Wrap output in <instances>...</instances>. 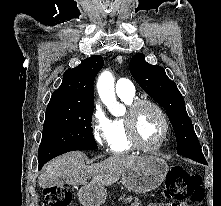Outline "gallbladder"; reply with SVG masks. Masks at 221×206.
Masks as SVG:
<instances>
[{"label":"gallbladder","instance_id":"gallbladder-1","mask_svg":"<svg viewBox=\"0 0 221 206\" xmlns=\"http://www.w3.org/2000/svg\"><path fill=\"white\" fill-rule=\"evenodd\" d=\"M57 183H60V180H52V181H40L39 182V185L40 186H45V189L46 190H49L50 189V186H56Z\"/></svg>","mask_w":221,"mask_h":206}]
</instances>
